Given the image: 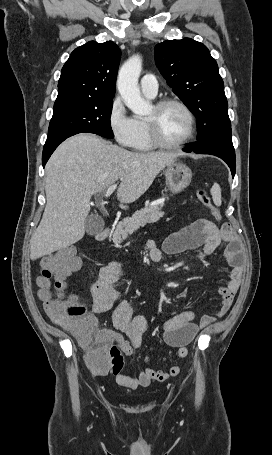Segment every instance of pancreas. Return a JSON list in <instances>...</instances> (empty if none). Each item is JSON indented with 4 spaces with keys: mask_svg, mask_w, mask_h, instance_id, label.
I'll return each instance as SVG.
<instances>
[{
    "mask_svg": "<svg viewBox=\"0 0 272 455\" xmlns=\"http://www.w3.org/2000/svg\"><path fill=\"white\" fill-rule=\"evenodd\" d=\"M161 205L147 206L141 210L136 211L132 217L125 218L115 226V230L112 233V241L115 244L122 243L129 234H132L138 230L141 226H145L147 223H155L160 217L164 215L161 211Z\"/></svg>",
    "mask_w": 272,
    "mask_h": 455,
    "instance_id": "1",
    "label": "pancreas"
}]
</instances>
